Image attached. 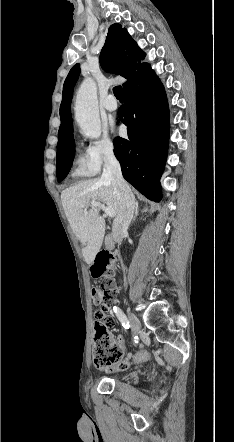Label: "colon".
I'll return each instance as SVG.
<instances>
[{"label":"colon","mask_w":234,"mask_h":442,"mask_svg":"<svg viewBox=\"0 0 234 442\" xmlns=\"http://www.w3.org/2000/svg\"><path fill=\"white\" fill-rule=\"evenodd\" d=\"M114 256L109 252H100L92 266V274L101 281L99 287L92 289V300L100 305L97 314H107L108 308L114 302L117 294V286L114 280L113 272ZM115 320V319H114ZM108 331L94 330L93 343V363L98 369H108L115 367L117 370H123L130 361L141 363L147 361L152 353L150 348H139L136 352H130L127 358L122 360V347Z\"/></svg>","instance_id":"obj_1"}]
</instances>
